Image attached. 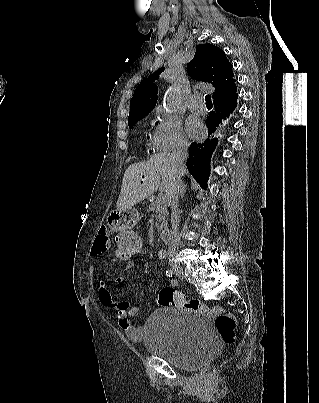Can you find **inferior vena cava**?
Segmentation results:
<instances>
[{
    "instance_id": "inferior-vena-cava-1",
    "label": "inferior vena cava",
    "mask_w": 319,
    "mask_h": 403,
    "mask_svg": "<svg viewBox=\"0 0 319 403\" xmlns=\"http://www.w3.org/2000/svg\"><path fill=\"white\" fill-rule=\"evenodd\" d=\"M188 147L189 144L184 139H178L176 146L172 152V159L174 165L177 168V174L175 175L174 182L169 191V198L171 199V223H172V232L170 236V245L172 248L175 247L177 242V234L179 227V217H178V198L181 187V175L179 173L180 169L184 166V161L188 157Z\"/></svg>"
}]
</instances>
